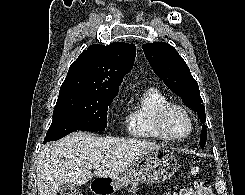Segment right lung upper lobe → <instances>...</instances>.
I'll use <instances>...</instances> for the list:
<instances>
[{
	"instance_id": "1",
	"label": "right lung upper lobe",
	"mask_w": 245,
	"mask_h": 195,
	"mask_svg": "<svg viewBox=\"0 0 245 195\" xmlns=\"http://www.w3.org/2000/svg\"><path fill=\"white\" fill-rule=\"evenodd\" d=\"M134 44L91 45L73 62L59 93L96 91L117 95L124 75L133 67Z\"/></svg>"
}]
</instances>
